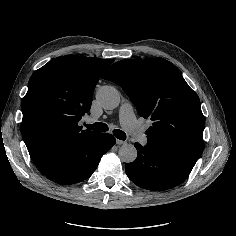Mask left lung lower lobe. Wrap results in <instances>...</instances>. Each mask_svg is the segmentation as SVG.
Instances as JSON below:
<instances>
[{"instance_id":"0a47b994","label":"left lung lower lobe","mask_w":236,"mask_h":236,"mask_svg":"<svg viewBox=\"0 0 236 236\" xmlns=\"http://www.w3.org/2000/svg\"><path fill=\"white\" fill-rule=\"evenodd\" d=\"M134 145L138 156L126 164L125 171L131 181L148 190L162 191L181 184L195 165L149 143L141 146L136 142Z\"/></svg>"}]
</instances>
